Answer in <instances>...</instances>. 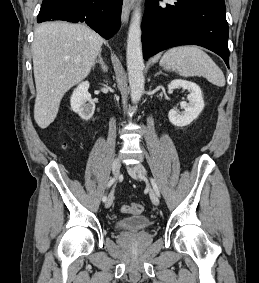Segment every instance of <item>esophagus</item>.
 <instances>
[{"label": "esophagus", "instance_id": "esophagus-1", "mask_svg": "<svg viewBox=\"0 0 259 283\" xmlns=\"http://www.w3.org/2000/svg\"><path fill=\"white\" fill-rule=\"evenodd\" d=\"M133 5V0H124L122 6L121 19L124 24H127L130 16V11Z\"/></svg>", "mask_w": 259, "mask_h": 283}]
</instances>
